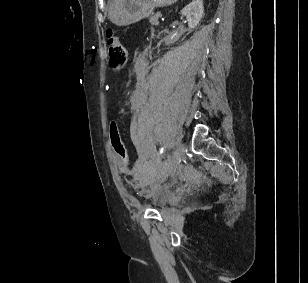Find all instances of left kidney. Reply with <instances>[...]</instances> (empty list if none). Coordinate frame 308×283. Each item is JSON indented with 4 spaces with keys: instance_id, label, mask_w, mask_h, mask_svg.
Listing matches in <instances>:
<instances>
[{
    "instance_id": "5707ae66",
    "label": "left kidney",
    "mask_w": 308,
    "mask_h": 283,
    "mask_svg": "<svg viewBox=\"0 0 308 283\" xmlns=\"http://www.w3.org/2000/svg\"><path fill=\"white\" fill-rule=\"evenodd\" d=\"M204 13L203 1L193 0L186 7L181 10V14L186 16L189 28H195Z\"/></svg>"
}]
</instances>
